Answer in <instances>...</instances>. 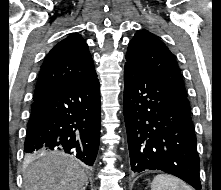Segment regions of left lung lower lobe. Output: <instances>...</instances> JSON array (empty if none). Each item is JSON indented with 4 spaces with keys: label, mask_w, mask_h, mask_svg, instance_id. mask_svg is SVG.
<instances>
[{
    "label": "left lung lower lobe",
    "mask_w": 221,
    "mask_h": 190,
    "mask_svg": "<svg viewBox=\"0 0 221 190\" xmlns=\"http://www.w3.org/2000/svg\"><path fill=\"white\" fill-rule=\"evenodd\" d=\"M123 103L131 169L162 170L200 190L188 98L153 73L126 63Z\"/></svg>",
    "instance_id": "0a47b994"
}]
</instances>
